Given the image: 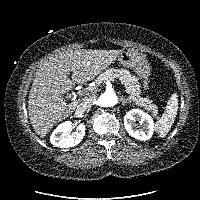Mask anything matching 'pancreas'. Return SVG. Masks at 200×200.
Returning <instances> with one entry per match:
<instances>
[{
    "label": "pancreas",
    "mask_w": 200,
    "mask_h": 200,
    "mask_svg": "<svg viewBox=\"0 0 200 200\" xmlns=\"http://www.w3.org/2000/svg\"><path fill=\"white\" fill-rule=\"evenodd\" d=\"M118 79L122 85L126 88L128 94H130V99L135 102L139 107H143L147 111L151 112L154 116L158 114V108L152 103L148 98H142L139 95L137 79L132 76L127 70L110 68L105 72L101 73L97 79L96 83L100 84L108 79Z\"/></svg>",
    "instance_id": "1"
}]
</instances>
